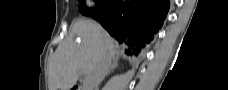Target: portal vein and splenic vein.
<instances>
[{"label":"portal vein and splenic vein","instance_id":"portal-vein-and-splenic-vein-1","mask_svg":"<svg viewBox=\"0 0 228 90\" xmlns=\"http://www.w3.org/2000/svg\"><path fill=\"white\" fill-rule=\"evenodd\" d=\"M79 74H81V75H82V74H84V73H83V71H81V70H80V71H79Z\"/></svg>","mask_w":228,"mask_h":90}]
</instances>
